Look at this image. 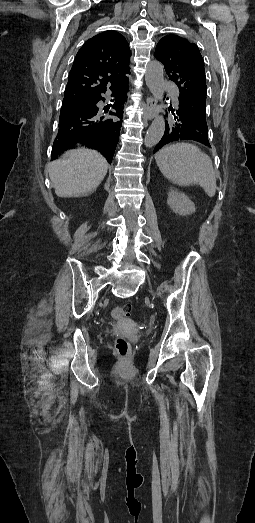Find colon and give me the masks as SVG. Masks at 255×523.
I'll return each instance as SVG.
<instances>
[{
  "label": "colon",
  "instance_id": "1",
  "mask_svg": "<svg viewBox=\"0 0 255 523\" xmlns=\"http://www.w3.org/2000/svg\"><path fill=\"white\" fill-rule=\"evenodd\" d=\"M130 310V305L115 307L112 310V316L116 319H123L129 316ZM115 350L119 356L125 358L130 352V344L124 337L117 336L115 339Z\"/></svg>",
  "mask_w": 255,
  "mask_h": 523
}]
</instances>
